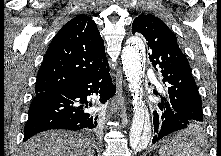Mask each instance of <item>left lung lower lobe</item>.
<instances>
[{
	"label": "left lung lower lobe",
	"instance_id": "1",
	"mask_svg": "<svg viewBox=\"0 0 221 156\" xmlns=\"http://www.w3.org/2000/svg\"><path fill=\"white\" fill-rule=\"evenodd\" d=\"M153 115L155 133L152 140L153 144L175 131L200 125L191 118H188L174 110L165 97L161 98L157 109L153 112Z\"/></svg>",
	"mask_w": 221,
	"mask_h": 156
}]
</instances>
